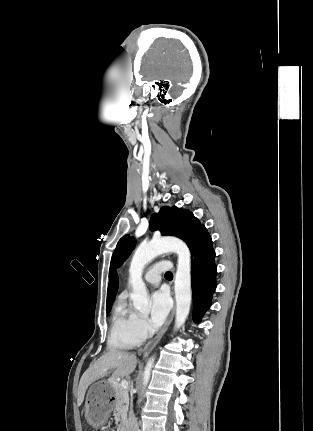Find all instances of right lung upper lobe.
Listing matches in <instances>:
<instances>
[{
    "label": "right lung upper lobe",
    "instance_id": "obj_1",
    "mask_svg": "<svg viewBox=\"0 0 313 431\" xmlns=\"http://www.w3.org/2000/svg\"><path fill=\"white\" fill-rule=\"evenodd\" d=\"M110 272H112L111 277H110V282H109V286H108V291H107V304H106V308L109 306H112L113 301L116 297V293L118 291V276L115 270H113V267L110 266Z\"/></svg>",
    "mask_w": 313,
    "mask_h": 431
}]
</instances>
